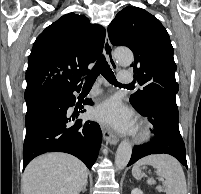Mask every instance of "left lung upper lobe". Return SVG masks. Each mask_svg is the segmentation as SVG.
<instances>
[{
	"label": "left lung upper lobe",
	"mask_w": 201,
	"mask_h": 194,
	"mask_svg": "<svg viewBox=\"0 0 201 194\" xmlns=\"http://www.w3.org/2000/svg\"><path fill=\"white\" fill-rule=\"evenodd\" d=\"M114 46H126L134 53V75L143 86L130 98L136 109L144 108L155 98L176 101L179 86L175 79L177 66L168 32L153 15L139 7L122 9L108 26Z\"/></svg>",
	"instance_id": "5c2ea615"
}]
</instances>
